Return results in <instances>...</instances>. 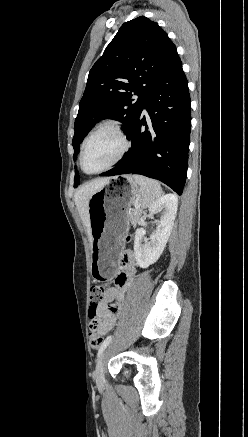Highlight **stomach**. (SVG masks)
I'll return each mask as SVG.
<instances>
[{"mask_svg": "<svg viewBox=\"0 0 248 437\" xmlns=\"http://www.w3.org/2000/svg\"><path fill=\"white\" fill-rule=\"evenodd\" d=\"M140 189L131 175L109 179L89 200L93 278L107 286L118 266L129 229L128 212Z\"/></svg>", "mask_w": 248, "mask_h": 437, "instance_id": "1", "label": "stomach"}]
</instances>
